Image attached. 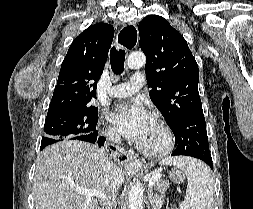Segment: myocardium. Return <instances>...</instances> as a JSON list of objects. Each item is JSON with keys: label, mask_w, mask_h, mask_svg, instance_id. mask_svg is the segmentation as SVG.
<instances>
[{"label": "myocardium", "mask_w": 253, "mask_h": 209, "mask_svg": "<svg viewBox=\"0 0 253 209\" xmlns=\"http://www.w3.org/2000/svg\"><path fill=\"white\" fill-rule=\"evenodd\" d=\"M154 120L162 127L165 133V145L159 149H148L142 146L140 143L137 144V149L144 155L152 158H158L167 155L174 147L175 137L172 128L168 122L160 116L155 115Z\"/></svg>", "instance_id": "f54148a6"}]
</instances>
